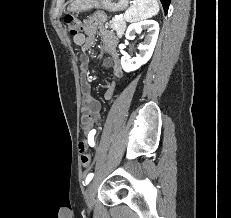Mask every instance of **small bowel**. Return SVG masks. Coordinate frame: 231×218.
Wrapping results in <instances>:
<instances>
[{
  "label": "small bowel",
  "instance_id": "c3829d8e",
  "mask_svg": "<svg viewBox=\"0 0 231 218\" xmlns=\"http://www.w3.org/2000/svg\"><path fill=\"white\" fill-rule=\"evenodd\" d=\"M105 19L106 16L102 11H95L90 14L83 24L84 33L74 36L73 42L76 46L81 47L84 50H88L94 45L96 37L99 35L102 41V48L109 55V57L103 60L102 66L107 70H111L114 77L119 79L123 76V72L120 59L116 51L117 38L112 32L102 27ZM88 69V58L83 55L80 61V88L82 96L81 127L86 134L91 131V128H94L96 123L100 121L101 111L100 102L97 101L91 94V86L86 77ZM115 87L116 80L114 79L108 90L104 93L105 101L114 102ZM80 146L81 149L84 150L85 143L82 142Z\"/></svg>",
  "mask_w": 231,
  "mask_h": 218
}]
</instances>
